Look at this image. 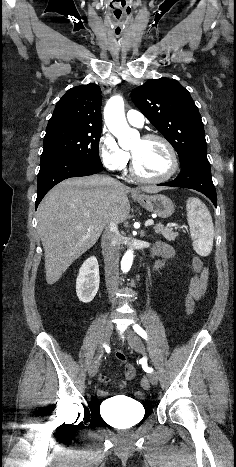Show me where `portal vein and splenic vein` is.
Here are the masks:
<instances>
[{
	"label": "portal vein and splenic vein",
	"mask_w": 236,
	"mask_h": 467,
	"mask_svg": "<svg viewBox=\"0 0 236 467\" xmlns=\"http://www.w3.org/2000/svg\"><path fill=\"white\" fill-rule=\"evenodd\" d=\"M153 224H154V221H153V220H147V221L145 222V226H146V227H147V226H151V225H153Z\"/></svg>",
	"instance_id": "obj_1"
}]
</instances>
